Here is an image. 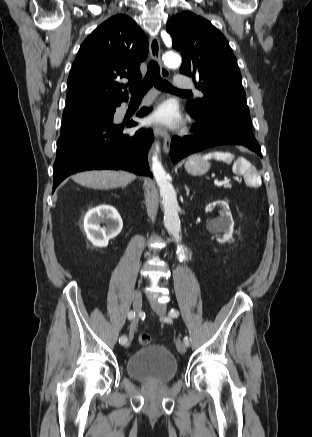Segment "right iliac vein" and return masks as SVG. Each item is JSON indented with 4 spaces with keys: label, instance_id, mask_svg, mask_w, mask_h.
<instances>
[{
    "label": "right iliac vein",
    "instance_id": "63e3f726",
    "mask_svg": "<svg viewBox=\"0 0 312 437\" xmlns=\"http://www.w3.org/2000/svg\"><path fill=\"white\" fill-rule=\"evenodd\" d=\"M141 309H142V297H141V294L139 292H137L135 294V297L133 300V310H134V312H136V314H138L141 311ZM137 322H138V319L136 317L132 322L129 338L126 341V343L124 344L125 347H128L131 343V340L133 337V332L135 330V327L137 326Z\"/></svg>",
    "mask_w": 312,
    "mask_h": 437
}]
</instances>
